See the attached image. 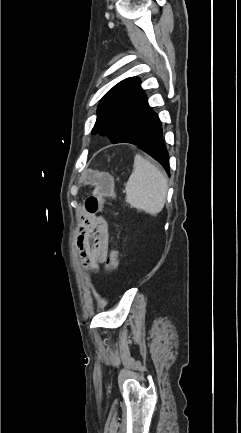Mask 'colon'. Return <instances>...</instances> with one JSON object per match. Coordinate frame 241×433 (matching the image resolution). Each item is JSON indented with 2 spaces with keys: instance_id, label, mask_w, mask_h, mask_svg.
<instances>
[{
  "instance_id": "5ec220e1",
  "label": "colon",
  "mask_w": 241,
  "mask_h": 433,
  "mask_svg": "<svg viewBox=\"0 0 241 433\" xmlns=\"http://www.w3.org/2000/svg\"><path fill=\"white\" fill-rule=\"evenodd\" d=\"M90 174V171H87ZM86 184L94 182L95 189L93 194L88 199V208L91 212L97 213L101 211L105 203L111 198L113 192V180L110 174L104 171H95L91 175H86L83 178ZM119 264V253L117 250H112L105 263V268L109 273L116 271Z\"/></svg>"
}]
</instances>
